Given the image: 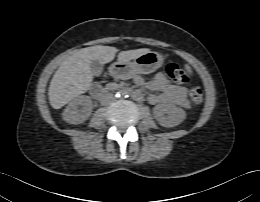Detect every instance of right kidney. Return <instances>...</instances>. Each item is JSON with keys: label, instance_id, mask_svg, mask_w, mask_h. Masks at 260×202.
Wrapping results in <instances>:
<instances>
[{"label": "right kidney", "instance_id": "obj_1", "mask_svg": "<svg viewBox=\"0 0 260 202\" xmlns=\"http://www.w3.org/2000/svg\"><path fill=\"white\" fill-rule=\"evenodd\" d=\"M92 112V100L82 95L75 98L63 111V120L70 124H80L86 121Z\"/></svg>", "mask_w": 260, "mask_h": 202}]
</instances>
